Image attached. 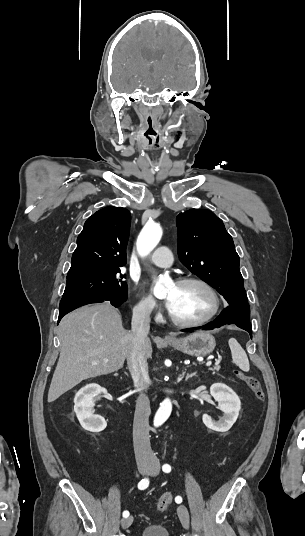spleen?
I'll list each match as a JSON object with an SVG mask.
<instances>
[{
    "mask_svg": "<svg viewBox=\"0 0 305 536\" xmlns=\"http://www.w3.org/2000/svg\"><path fill=\"white\" fill-rule=\"evenodd\" d=\"M228 344L234 364H236L240 370H243V372H249L250 366L246 352H244L243 348H241L235 338H230Z\"/></svg>",
    "mask_w": 305,
    "mask_h": 536,
    "instance_id": "obj_1",
    "label": "spleen"
}]
</instances>
